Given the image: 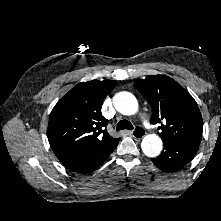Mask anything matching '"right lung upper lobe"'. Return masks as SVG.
<instances>
[{"label":"right lung upper lobe","mask_w":221,"mask_h":221,"mask_svg":"<svg viewBox=\"0 0 221 221\" xmlns=\"http://www.w3.org/2000/svg\"><path fill=\"white\" fill-rule=\"evenodd\" d=\"M116 81L82 82L64 95L53 108L48 124L50 146L61 162L105 151L115 146L101 114L104 98L115 88Z\"/></svg>","instance_id":"obj_1"}]
</instances>
